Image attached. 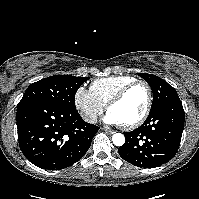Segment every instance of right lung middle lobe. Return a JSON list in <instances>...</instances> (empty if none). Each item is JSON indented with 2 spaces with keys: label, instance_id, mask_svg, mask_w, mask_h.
<instances>
[{
  "label": "right lung middle lobe",
  "instance_id": "dd1d6c3e",
  "mask_svg": "<svg viewBox=\"0 0 199 199\" xmlns=\"http://www.w3.org/2000/svg\"><path fill=\"white\" fill-rule=\"evenodd\" d=\"M89 77L54 75L32 83L25 91L19 104L45 101L67 109L76 110L74 99L79 87Z\"/></svg>",
  "mask_w": 199,
  "mask_h": 199
}]
</instances>
